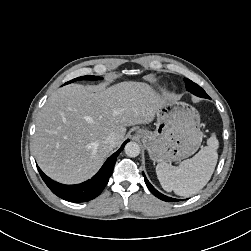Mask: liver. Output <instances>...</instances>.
Instances as JSON below:
<instances>
[{"label":"liver","instance_id":"obj_1","mask_svg":"<svg viewBox=\"0 0 251 251\" xmlns=\"http://www.w3.org/2000/svg\"><path fill=\"white\" fill-rule=\"evenodd\" d=\"M166 98L143 82L61 87L38 115L34 135L38 165L65 184L91 178L121 145L126 127L153 121ZM111 133L117 135L115 146L106 143Z\"/></svg>","mask_w":251,"mask_h":251}]
</instances>
